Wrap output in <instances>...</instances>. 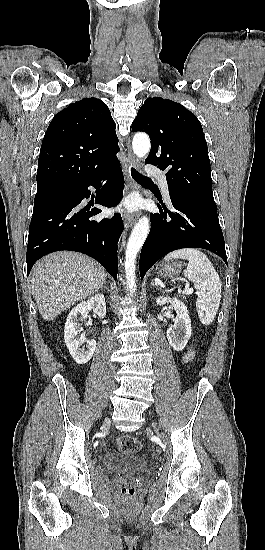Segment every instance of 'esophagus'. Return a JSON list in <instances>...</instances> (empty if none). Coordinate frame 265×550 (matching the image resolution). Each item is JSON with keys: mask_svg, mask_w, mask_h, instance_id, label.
<instances>
[{"mask_svg": "<svg viewBox=\"0 0 265 550\" xmlns=\"http://www.w3.org/2000/svg\"><path fill=\"white\" fill-rule=\"evenodd\" d=\"M130 140L128 139V144H129ZM131 167H138V161L136 159V157L132 154L131 150L129 149L128 151V158H127V164H126V167H125V172H126V175H127V178H128V186L130 188H133L134 187V182L132 181L131 179V176H130V168ZM139 217V214L136 213V214H127L124 216V223L127 227H130L132 226L138 219Z\"/></svg>", "mask_w": 265, "mask_h": 550, "instance_id": "esophagus-1", "label": "esophagus"}]
</instances>
